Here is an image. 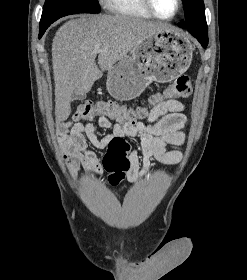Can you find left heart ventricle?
<instances>
[{
  "label": "left heart ventricle",
  "mask_w": 247,
  "mask_h": 280,
  "mask_svg": "<svg viewBox=\"0 0 247 280\" xmlns=\"http://www.w3.org/2000/svg\"><path fill=\"white\" fill-rule=\"evenodd\" d=\"M155 11L162 17H170L174 14L177 2L176 0H152Z\"/></svg>",
  "instance_id": "1"
}]
</instances>
